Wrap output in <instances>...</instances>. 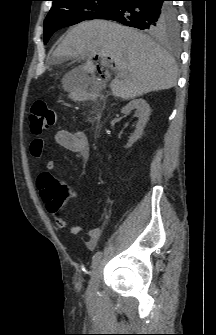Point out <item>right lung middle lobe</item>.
<instances>
[{
	"label": "right lung middle lobe",
	"instance_id": "right-lung-middle-lobe-1",
	"mask_svg": "<svg viewBox=\"0 0 216 335\" xmlns=\"http://www.w3.org/2000/svg\"><path fill=\"white\" fill-rule=\"evenodd\" d=\"M116 2L117 0H53L52 8L44 21V43L48 42L55 31L84 20L96 19ZM175 11L174 8L169 17ZM151 34L174 39L178 37L179 25L167 22L159 33Z\"/></svg>",
	"mask_w": 216,
	"mask_h": 335
}]
</instances>
